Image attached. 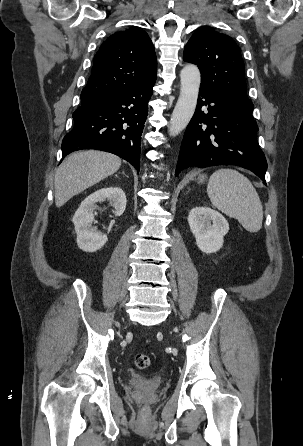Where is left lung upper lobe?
<instances>
[{
    "instance_id": "obj_1",
    "label": "left lung upper lobe",
    "mask_w": 303,
    "mask_h": 446,
    "mask_svg": "<svg viewBox=\"0 0 303 446\" xmlns=\"http://www.w3.org/2000/svg\"><path fill=\"white\" fill-rule=\"evenodd\" d=\"M183 59L198 65L201 85L224 91L253 110L247 97L241 50L231 37L211 27H199L186 44Z\"/></svg>"
}]
</instances>
